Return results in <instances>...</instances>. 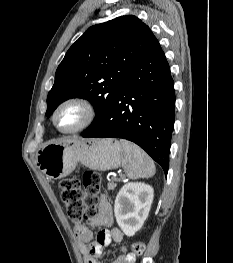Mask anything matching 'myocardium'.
<instances>
[{"mask_svg":"<svg viewBox=\"0 0 233 263\" xmlns=\"http://www.w3.org/2000/svg\"><path fill=\"white\" fill-rule=\"evenodd\" d=\"M71 105L78 106L83 110L84 119L75 128L70 129V130H63L58 126L57 116L63 108H65L67 106H71ZM95 117H96V109H95L94 105L88 99L83 98V97H71V98H68V99L62 101L56 107V109L53 113V116H52V122H53V125L55 126V128L59 132L64 133V134H73V133H77V132L87 128L88 126H90L93 123V121L95 120Z\"/></svg>","mask_w":233,"mask_h":263,"instance_id":"obj_1","label":"myocardium"}]
</instances>
